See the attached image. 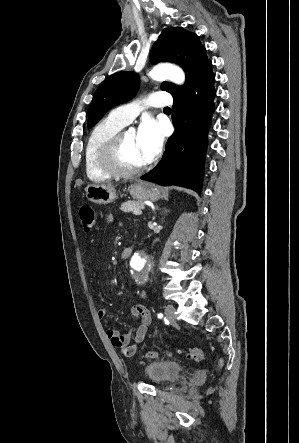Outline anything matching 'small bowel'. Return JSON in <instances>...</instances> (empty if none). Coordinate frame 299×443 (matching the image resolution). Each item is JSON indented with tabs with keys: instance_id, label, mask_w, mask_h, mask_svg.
Instances as JSON below:
<instances>
[{
	"instance_id": "small-bowel-1",
	"label": "small bowel",
	"mask_w": 299,
	"mask_h": 443,
	"mask_svg": "<svg viewBox=\"0 0 299 443\" xmlns=\"http://www.w3.org/2000/svg\"><path fill=\"white\" fill-rule=\"evenodd\" d=\"M109 219L111 220L112 218L109 217ZM97 314L100 318H103L107 314V309L104 306H99ZM131 314L134 319L140 322L134 337L131 336L130 331L120 333L114 329L107 330V337L110 343L114 347L121 349L127 357H131L136 353L138 345L145 340L151 327V315L145 305L137 304L133 306Z\"/></svg>"
}]
</instances>
